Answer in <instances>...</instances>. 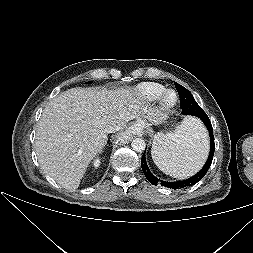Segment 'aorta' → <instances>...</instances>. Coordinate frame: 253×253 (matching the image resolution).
I'll return each instance as SVG.
<instances>
[{
  "label": "aorta",
  "mask_w": 253,
  "mask_h": 253,
  "mask_svg": "<svg viewBox=\"0 0 253 253\" xmlns=\"http://www.w3.org/2000/svg\"><path fill=\"white\" fill-rule=\"evenodd\" d=\"M131 146H132V148H133L134 151L143 152L145 150L146 143L141 138H135L132 141Z\"/></svg>",
  "instance_id": "1"
}]
</instances>
